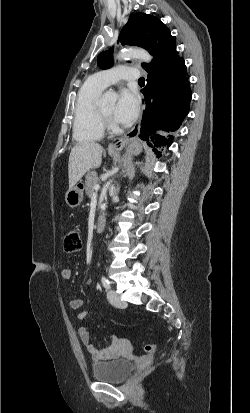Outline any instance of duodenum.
I'll use <instances>...</instances> for the list:
<instances>
[{
  "label": "duodenum",
  "instance_id": "1",
  "mask_svg": "<svg viewBox=\"0 0 250 413\" xmlns=\"http://www.w3.org/2000/svg\"><path fill=\"white\" fill-rule=\"evenodd\" d=\"M106 225V218L104 216H100L97 218L94 229L96 232H101Z\"/></svg>",
  "mask_w": 250,
  "mask_h": 413
}]
</instances>
